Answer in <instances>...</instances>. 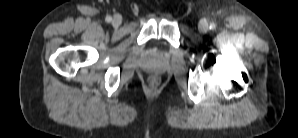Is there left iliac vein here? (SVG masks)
Instances as JSON below:
<instances>
[{"mask_svg":"<svg viewBox=\"0 0 298 138\" xmlns=\"http://www.w3.org/2000/svg\"><path fill=\"white\" fill-rule=\"evenodd\" d=\"M208 29H209L208 22L205 19L201 20L199 23L200 32L206 33L208 31Z\"/></svg>","mask_w":298,"mask_h":138,"instance_id":"obj_1","label":"left iliac vein"}]
</instances>
